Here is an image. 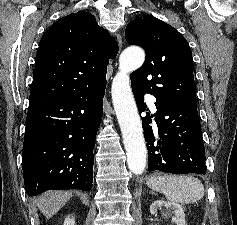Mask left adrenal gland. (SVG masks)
<instances>
[{
  "label": "left adrenal gland",
  "instance_id": "obj_1",
  "mask_svg": "<svg viewBox=\"0 0 237 225\" xmlns=\"http://www.w3.org/2000/svg\"><path fill=\"white\" fill-rule=\"evenodd\" d=\"M150 193H151V194H154V192H152V191H151Z\"/></svg>",
  "mask_w": 237,
  "mask_h": 225
}]
</instances>
